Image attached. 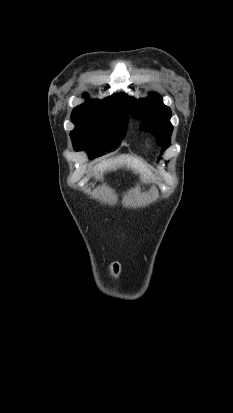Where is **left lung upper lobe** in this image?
I'll use <instances>...</instances> for the list:
<instances>
[{
  "label": "left lung upper lobe",
  "instance_id": "5c2ea615",
  "mask_svg": "<svg viewBox=\"0 0 233 413\" xmlns=\"http://www.w3.org/2000/svg\"><path fill=\"white\" fill-rule=\"evenodd\" d=\"M124 100L130 114L142 120V128L154 133L158 144L166 149L170 145L173 126L170 123L171 110L162 103L161 97L153 94L150 100L143 101L124 94Z\"/></svg>",
  "mask_w": 233,
  "mask_h": 413
}]
</instances>
